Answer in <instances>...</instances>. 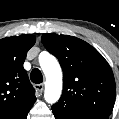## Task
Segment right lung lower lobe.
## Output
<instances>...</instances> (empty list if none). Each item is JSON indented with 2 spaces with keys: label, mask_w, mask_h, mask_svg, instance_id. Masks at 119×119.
Here are the masks:
<instances>
[{
  "label": "right lung lower lobe",
  "mask_w": 119,
  "mask_h": 119,
  "mask_svg": "<svg viewBox=\"0 0 119 119\" xmlns=\"http://www.w3.org/2000/svg\"><path fill=\"white\" fill-rule=\"evenodd\" d=\"M32 106H33V105H32ZM32 106H31V107H32ZM31 107L28 108L27 110H25L24 112L20 113V115H17V116L14 117V118H15V119H26V118H27V114H28L29 110L31 109Z\"/></svg>",
  "instance_id": "obj_1"
}]
</instances>
